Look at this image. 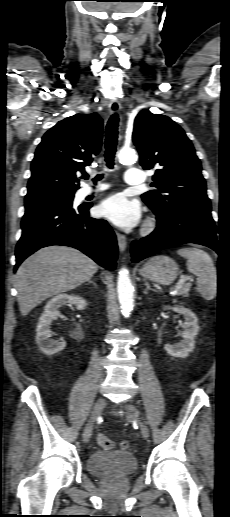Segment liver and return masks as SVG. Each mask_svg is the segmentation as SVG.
<instances>
[{
	"label": "liver",
	"instance_id": "6515ba94",
	"mask_svg": "<svg viewBox=\"0 0 230 517\" xmlns=\"http://www.w3.org/2000/svg\"><path fill=\"white\" fill-rule=\"evenodd\" d=\"M98 265L77 249L48 246L27 258L16 273L17 300L26 316L45 299L91 279Z\"/></svg>",
	"mask_w": 230,
	"mask_h": 517
}]
</instances>
